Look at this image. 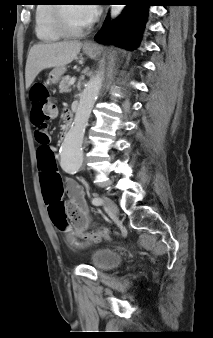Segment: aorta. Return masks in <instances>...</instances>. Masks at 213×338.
Returning a JSON list of instances; mask_svg holds the SVG:
<instances>
[{
	"label": "aorta",
	"mask_w": 213,
	"mask_h": 338,
	"mask_svg": "<svg viewBox=\"0 0 213 338\" xmlns=\"http://www.w3.org/2000/svg\"><path fill=\"white\" fill-rule=\"evenodd\" d=\"M123 5H112L111 17L116 18L123 10ZM102 74L97 73L85 85L80 95L79 104L75 113L74 121L61 146L62 169L67 173L78 172L83 163V138L85 129L102 86Z\"/></svg>",
	"instance_id": "aorta-1"
}]
</instances>
